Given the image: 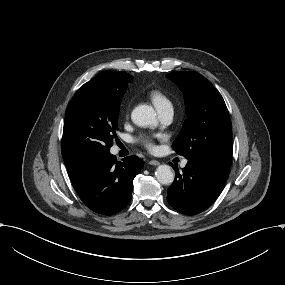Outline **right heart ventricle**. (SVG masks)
I'll return each instance as SVG.
<instances>
[{"label":"right heart ventricle","mask_w":285,"mask_h":285,"mask_svg":"<svg viewBox=\"0 0 285 285\" xmlns=\"http://www.w3.org/2000/svg\"><path fill=\"white\" fill-rule=\"evenodd\" d=\"M147 95L158 110L164 108L165 106L171 105L168 94L160 88L149 89Z\"/></svg>","instance_id":"e07e8e85"}]
</instances>
